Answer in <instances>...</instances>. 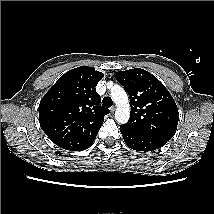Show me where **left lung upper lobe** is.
Here are the masks:
<instances>
[{"label":"left lung upper lobe","mask_w":214,"mask_h":214,"mask_svg":"<svg viewBox=\"0 0 214 214\" xmlns=\"http://www.w3.org/2000/svg\"><path fill=\"white\" fill-rule=\"evenodd\" d=\"M116 77L128 92L131 105L130 119L121 127L169 141L176 132L179 113L166 87L141 68L119 71Z\"/></svg>","instance_id":"1"}]
</instances>
